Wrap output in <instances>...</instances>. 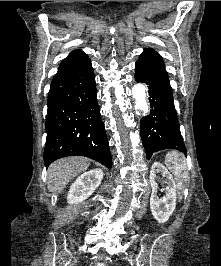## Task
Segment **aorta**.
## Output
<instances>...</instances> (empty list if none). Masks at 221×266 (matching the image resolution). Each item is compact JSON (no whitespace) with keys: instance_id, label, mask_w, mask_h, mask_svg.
<instances>
[{"instance_id":"1","label":"aorta","mask_w":221,"mask_h":266,"mask_svg":"<svg viewBox=\"0 0 221 266\" xmlns=\"http://www.w3.org/2000/svg\"><path fill=\"white\" fill-rule=\"evenodd\" d=\"M132 94L135 99V110L141 111L144 115L149 112V105L147 102V89L144 84L138 83L132 87Z\"/></svg>"}]
</instances>
